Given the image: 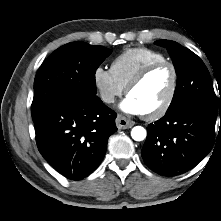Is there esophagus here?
<instances>
[{"instance_id": "1", "label": "esophagus", "mask_w": 221, "mask_h": 221, "mask_svg": "<svg viewBox=\"0 0 221 221\" xmlns=\"http://www.w3.org/2000/svg\"><path fill=\"white\" fill-rule=\"evenodd\" d=\"M134 124V121H131L122 115H118L116 118V125L119 129L131 128Z\"/></svg>"}]
</instances>
